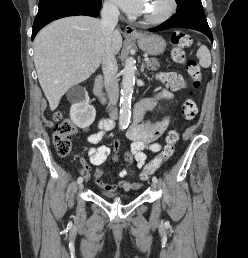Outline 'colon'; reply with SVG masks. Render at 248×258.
Wrapping results in <instances>:
<instances>
[{"label": "colon", "mask_w": 248, "mask_h": 258, "mask_svg": "<svg viewBox=\"0 0 248 258\" xmlns=\"http://www.w3.org/2000/svg\"><path fill=\"white\" fill-rule=\"evenodd\" d=\"M170 42L173 46L172 57L175 62L186 66L187 72L193 82V90L190 95H194V91L201 86L202 72L198 62L194 59H187L184 48L191 45L192 39L189 34L182 31H173L170 36ZM162 79L166 81L171 90H178L182 87V80L178 77L169 74H163ZM198 107L195 100L190 97L186 99L182 105V115L186 120H191L196 117ZM56 125L52 134L53 143L60 156H68L71 154L73 146L71 137L76 133V126L70 119L63 118L60 112L54 115ZM179 133L176 129L170 130L166 135V145L161 151L160 155L155 158L151 163L145 166L144 170L140 173L139 178L146 181L155 173L158 166L168 160L174 153V145L178 141ZM114 153L117 154L119 147L122 146V141H113ZM124 165L127 169L133 168V159L135 155L131 150L123 152ZM83 175L87 176L86 169L83 170Z\"/></svg>", "instance_id": "5ec220e1"}]
</instances>
